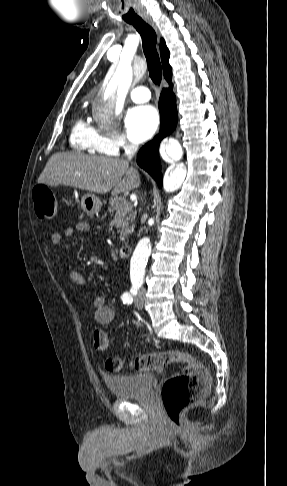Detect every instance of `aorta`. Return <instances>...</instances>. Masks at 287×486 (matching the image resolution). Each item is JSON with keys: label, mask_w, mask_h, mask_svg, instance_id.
<instances>
[{"label": "aorta", "mask_w": 287, "mask_h": 486, "mask_svg": "<svg viewBox=\"0 0 287 486\" xmlns=\"http://www.w3.org/2000/svg\"><path fill=\"white\" fill-rule=\"evenodd\" d=\"M133 79V69L127 62L121 61L114 75L108 82L103 92L96 98L94 116L101 123H110L122 110L123 101L128 93ZM166 151L174 159L182 157L180 143L170 138ZM186 177V169L183 164H176L167 173L163 187L166 192L176 191L181 187ZM151 253V243L148 237H143L138 242L131 258V280H137L143 276L145 264Z\"/></svg>", "instance_id": "1"}]
</instances>
